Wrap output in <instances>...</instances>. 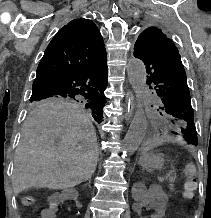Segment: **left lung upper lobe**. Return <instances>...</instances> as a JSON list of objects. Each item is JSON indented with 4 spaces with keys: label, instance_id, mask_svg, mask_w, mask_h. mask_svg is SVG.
Listing matches in <instances>:
<instances>
[{
    "label": "left lung upper lobe",
    "instance_id": "5c2ea615",
    "mask_svg": "<svg viewBox=\"0 0 211 218\" xmlns=\"http://www.w3.org/2000/svg\"><path fill=\"white\" fill-rule=\"evenodd\" d=\"M134 56L146 66L147 84L159 97L154 110L167 133L196 146L198 139L193 122L194 112L177 47L160 29L149 27L139 35Z\"/></svg>",
    "mask_w": 211,
    "mask_h": 218
}]
</instances>
